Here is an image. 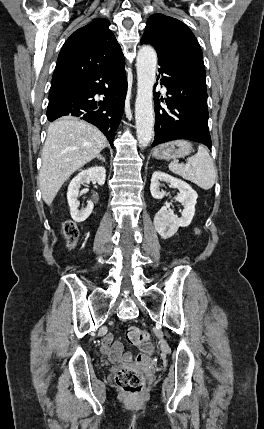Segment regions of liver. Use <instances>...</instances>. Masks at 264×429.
<instances>
[{
  "instance_id": "1",
  "label": "liver",
  "mask_w": 264,
  "mask_h": 429,
  "mask_svg": "<svg viewBox=\"0 0 264 429\" xmlns=\"http://www.w3.org/2000/svg\"><path fill=\"white\" fill-rule=\"evenodd\" d=\"M106 146V137L87 122L71 116L52 122L47 129L38 178L44 202L50 206L64 182Z\"/></svg>"
}]
</instances>
